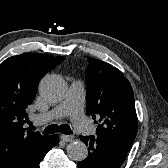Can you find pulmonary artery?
Listing matches in <instances>:
<instances>
[{"mask_svg": "<svg viewBox=\"0 0 168 168\" xmlns=\"http://www.w3.org/2000/svg\"><path fill=\"white\" fill-rule=\"evenodd\" d=\"M86 91L82 82L73 81L66 93L64 100L51 111L36 116L35 119L52 120L69 116L76 128L84 133L93 130L92 125L83 114Z\"/></svg>", "mask_w": 168, "mask_h": 168, "instance_id": "obj_1", "label": "pulmonary artery"}]
</instances>
